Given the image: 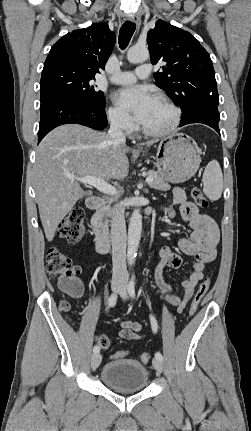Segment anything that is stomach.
<instances>
[{
	"label": "stomach",
	"mask_w": 251,
	"mask_h": 431,
	"mask_svg": "<svg viewBox=\"0 0 251 431\" xmlns=\"http://www.w3.org/2000/svg\"><path fill=\"white\" fill-rule=\"evenodd\" d=\"M200 162L197 144L183 133L170 135L158 144L156 166L159 175L167 182L187 181L195 175Z\"/></svg>",
	"instance_id": "obj_1"
}]
</instances>
